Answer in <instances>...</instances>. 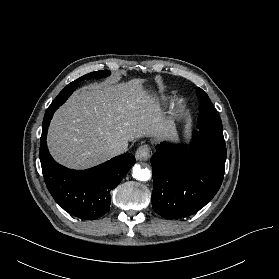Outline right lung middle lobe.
Segmentation results:
<instances>
[{
	"label": "right lung middle lobe",
	"instance_id": "dd1d6c3e",
	"mask_svg": "<svg viewBox=\"0 0 279 279\" xmlns=\"http://www.w3.org/2000/svg\"><path fill=\"white\" fill-rule=\"evenodd\" d=\"M110 74L109 70H102V71H97V72H92L89 74H86L77 80L71 82L68 84L61 92L60 94L56 97V99L52 102L51 106H54L55 104H63L65 100L72 94V92L75 90L77 84L84 80V79H91V78H103L106 77ZM48 115L47 112L45 113L44 120H43V125H45L47 121Z\"/></svg>",
	"mask_w": 279,
	"mask_h": 279
}]
</instances>
